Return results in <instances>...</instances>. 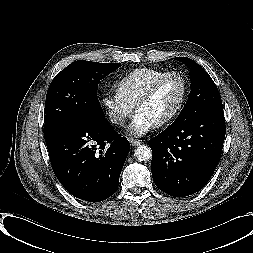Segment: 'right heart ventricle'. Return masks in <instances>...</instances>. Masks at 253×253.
I'll return each instance as SVG.
<instances>
[{
	"instance_id": "obj_1",
	"label": "right heart ventricle",
	"mask_w": 253,
	"mask_h": 253,
	"mask_svg": "<svg viewBox=\"0 0 253 253\" xmlns=\"http://www.w3.org/2000/svg\"><path fill=\"white\" fill-rule=\"evenodd\" d=\"M164 72L166 70L160 68L133 69L119 77L115 83V90L134 106L148 85Z\"/></svg>"
}]
</instances>
